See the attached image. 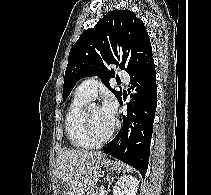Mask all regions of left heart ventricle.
<instances>
[{
    "instance_id": "left-heart-ventricle-1",
    "label": "left heart ventricle",
    "mask_w": 211,
    "mask_h": 195,
    "mask_svg": "<svg viewBox=\"0 0 211 195\" xmlns=\"http://www.w3.org/2000/svg\"><path fill=\"white\" fill-rule=\"evenodd\" d=\"M89 115L94 135L98 138L107 135L113 127L114 120L107 118L98 107L89 108Z\"/></svg>"
}]
</instances>
